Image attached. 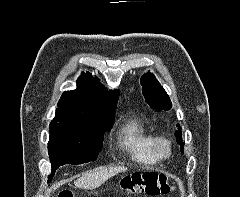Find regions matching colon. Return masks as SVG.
Returning a JSON list of instances; mask_svg holds the SVG:
<instances>
[{"label":"colon","instance_id":"colon-1","mask_svg":"<svg viewBox=\"0 0 240 197\" xmlns=\"http://www.w3.org/2000/svg\"><path fill=\"white\" fill-rule=\"evenodd\" d=\"M173 187L169 184L166 176L158 173H135L124 178L120 191L124 194L146 193L158 195L169 193ZM57 197H73L68 190L61 191Z\"/></svg>","mask_w":240,"mask_h":197}]
</instances>
